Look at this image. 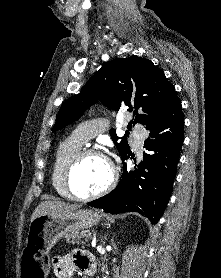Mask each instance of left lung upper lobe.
I'll return each mask as SVG.
<instances>
[{
	"mask_svg": "<svg viewBox=\"0 0 221 278\" xmlns=\"http://www.w3.org/2000/svg\"><path fill=\"white\" fill-rule=\"evenodd\" d=\"M97 98L116 110L128 106V111L135 116L129 127L136 123L146 126L156 122L179 100L174 86L152 61L137 56L118 58L105 63L78 95L63 103L52 131L78 119ZM110 135L120 156L128 154L127 139L119 138L114 129L110 130Z\"/></svg>",
	"mask_w": 221,
	"mask_h": 278,
	"instance_id": "1",
	"label": "left lung upper lobe"
}]
</instances>
